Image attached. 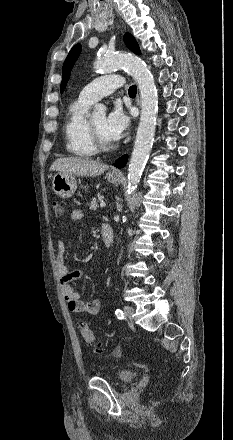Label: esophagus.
Here are the masks:
<instances>
[{"mask_svg":"<svg viewBox=\"0 0 233 440\" xmlns=\"http://www.w3.org/2000/svg\"><path fill=\"white\" fill-rule=\"evenodd\" d=\"M136 104H137L138 106H140L139 95H137V97H136ZM113 172H115V173H119V171H117V170H113Z\"/></svg>","mask_w":233,"mask_h":440,"instance_id":"1","label":"esophagus"}]
</instances>
